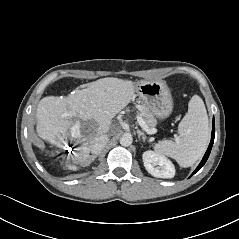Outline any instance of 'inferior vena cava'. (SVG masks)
<instances>
[{
	"instance_id": "1",
	"label": "inferior vena cava",
	"mask_w": 239,
	"mask_h": 239,
	"mask_svg": "<svg viewBox=\"0 0 239 239\" xmlns=\"http://www.w3.org/2000/svg\"><path fill=\"white\" fill-rule=\"evenodd\" d=\"M108 142V136L107 135H100L96 138V142L94 145V148L100 153L102 149L105 147V145Z\"/></svg>"
}]
</instances>
